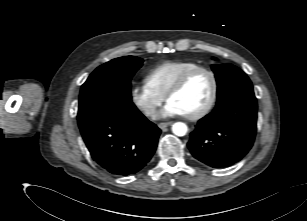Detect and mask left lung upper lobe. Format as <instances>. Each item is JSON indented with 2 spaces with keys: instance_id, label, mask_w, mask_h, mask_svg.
<instances>
[{
  "instance_id": "5c2ea615",
  "label": "left lung upper lobe",
  "mask_w": 307,
  "mask_h": 221,
  "mask_svg": "<svg viewBox=\"0 0 307 221\" xmlns=\"http://www.w3.org/2000/svg\"><path fill=\"white\" fill-rule=\"evenodd\" d=\"M215 59V58H214ZM217 81V104L223 103L241 96H254L252 83L247 75L231 64L212 65Z\"/></svg>"
}]
</instances>
